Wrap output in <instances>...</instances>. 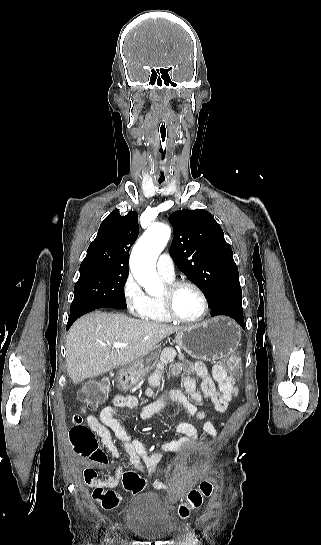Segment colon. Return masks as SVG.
Returning a JSON list of instances; mask_svg holds the SVG:
<instances>
[{
  "mask_svg": "<svg viewBox=\"0 0 321 545\" xmlns=\"http://www.w3.org/2000/svg\"><path fill=\"white\" fill-rule=\"evenodd\" d=\"M224 366L233 379L240 374V359L235 354H230L224 360ZM106 396V386L101 382H88L79 392V399L83 403V409H96L100 406ZM74 426L70 429V438L75 450L83 455H96L99 453L95 437L91 430L82 424L80 413L74 416ZM124 487L137 493L144 488L145 481L134 471H128L123 475ZM212 484L202 481L197 488L189 490L186 500L179 507V515L187 517L192 509L201 507L204 500L212 494ZM93 498L99 501L104 509L111 510L120 503V496L111 489L96 487L93 491Z\"/></svg>",
  "mask_w": 321,
  "mask_h": 545,
  "instance_id": "obj_1",
  "label": "colon"
}]
</instances>
